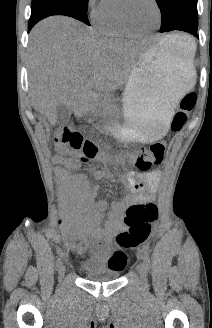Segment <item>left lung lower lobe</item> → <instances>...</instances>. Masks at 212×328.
<instances>
[{
    "instance_id": "obj_1",
    "label": "left lung lower lobe",
    "mask_w": 212,
    "mask_h": 328,
    "mask_svg": "<svg viewBox=\"0 0 212 328\" xmlns=\"http://www.w3.org/2000/svg\"><path fill=\"white\" fill-rule=\"evenodd\" d=\"M175 30L188 32V33L196 36L197 38H199V36L197 34V29H192V28H188V27H179V28H176Z\"/></svg>"
}]
</instances>
